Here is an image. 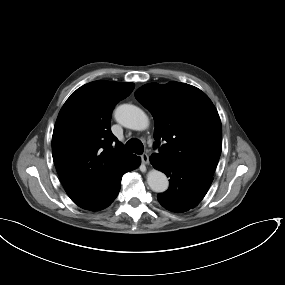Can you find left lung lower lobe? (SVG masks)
Instances as JSON below:
<instances>
[{
    "label": "left lung lower lobe",
    "instance_id": "0a47b994",
    "mask_svg": "<svg viewBox=\"0 0 285 285\" xmlns=\"http://www.w3.org/2000/svg\"><path fill=\"white\" fill-rule=\"evenodd\" d=\"M149 159L156 169L170 178L169 189L157 196L163 207L173 212H186L204 198L212 176L158 156L152 155Z\"/></svg>",
    "mask_w": 285,
    "mask_h": 285
}]
</instances>
